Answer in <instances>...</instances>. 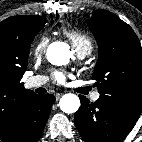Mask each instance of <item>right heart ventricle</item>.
<instances>
[{"label":"right heart ventricle","instance_id":"1","mask_svg":"<svg viewBox=\"0 0 142 142\" xmlns=\"http://www.w3.org/2000/svg\"><path fill=\"white\" fill-rule=\"evenodd\" d=\"M64 35L71 42L78 54H89L93 49V40L85 32L76 29H65Z\"/></svg>","mask_w":142,"mask_h":142}]
</instances>
